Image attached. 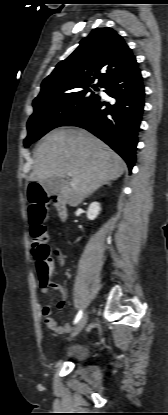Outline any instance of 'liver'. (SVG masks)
<instances>
[{"instance_id":"1","label":"liver","mask_w":168,"mask_h":415,"mask_svg":"<svg viewBox=\"0 0 168 415\" xmlns=\"http://www.w3.org/2000/svg\"><path fill=\"white\" fill-rule=\"evenodd\" d=\"M126 170L123 159L100 139L78 127H60L48 133L35 151L29 181L66 178L60 200L71 207L81 204L103 184L116 180ZM74 184V186H71Z\"/></svg>"}]
</instances>
